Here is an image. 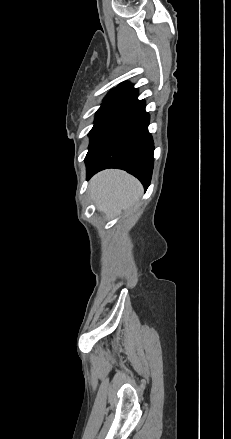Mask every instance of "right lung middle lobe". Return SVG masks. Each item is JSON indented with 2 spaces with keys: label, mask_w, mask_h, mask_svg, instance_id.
Masks as SVG:
<instances>
[{
  "label": "right lung middle lobe",
  "mask_w": 231,
  "mask_h": 439,
  "mask_svg": "<svg viewBox=\"0 0 231 439\" xmlns=\"http://www.w3.org/2000/svg\"><path fill=\"white\" fill-rule=\"evenodd\" d=\"M141 108L135 98L105 99L97 111L95 124L89 132L88 153L120 126L138 118Z\"/></svg>",
  "instance_id": "1"
}]
</instances>
